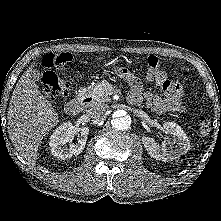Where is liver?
<instances>
[{
    "label": "liver",
    "instance_id": "6515ba94",
    "mask_svg": "<svg viewBox=\"0 0 221 221\" xmlns=\"http://www.w3.org/2000/svg\"><path fill=\"white\" fill-rule=\"evenodd\" d=\"M102 59V57H97ZM31 67L24 72L9 104L8 134L15 149L30 164H35L44 136L58 123V114L37 89Z\"/></svg>",
    "mask_w": 221,
    "mask_h": 221
}]
</instances>
